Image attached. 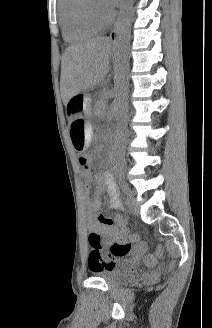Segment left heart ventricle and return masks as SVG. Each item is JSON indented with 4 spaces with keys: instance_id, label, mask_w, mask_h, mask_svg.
I'll return each mask as SVG.
<instances>
[{
    "instance_id": "obj_1",
    "label": "left heart ventricle",
    "mask_w": 212,
    "mask_h": 328,
    "mask_svg": "<svg viewBox=\"0 0 212 328\" xmlns=\"http://www.w3.org/2000/svg\"><path fill=\"white\" fill-rule=\"evenodd\" d=\"M94 6L96 7V9H97L100 13H102V14H104V15L108 14V11L102 6L100 0H95V1H94Z\"/></svg>"
}]
</instances>
